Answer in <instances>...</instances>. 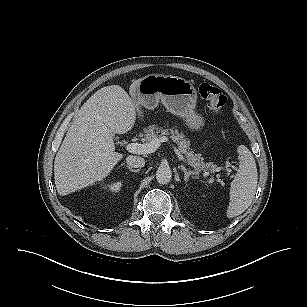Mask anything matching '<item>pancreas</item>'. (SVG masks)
Here are the masks:
<instances>
[{
    "instance_id": "1",
    "label": "pancreas",
    "mask_w": 307,
    "mask_h": 307,
    "mask_svg": "<svg viewBox=\"0 0 307 307\" xmlns=\"http://www.w3.org/2000/svg\"><path fill=\"white\" fill-rule=\"evenodd\" d=\"M171 135L173 142L178 145L179 151L185 155L187 161L194 166L196 169L202 170H211L215 172L217 170L216 165L212 162L204 163L203 157L201 154H194L192 150H190V141L184 138L182 133H179L177 129H163L158 125H150L144 129V141L150 142L153 138L158 136Z\"/></svg>"
}]
</instances>
